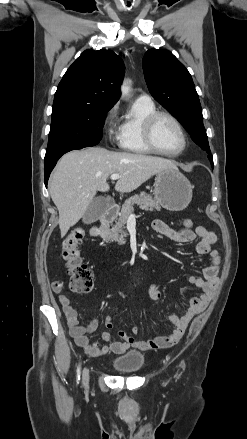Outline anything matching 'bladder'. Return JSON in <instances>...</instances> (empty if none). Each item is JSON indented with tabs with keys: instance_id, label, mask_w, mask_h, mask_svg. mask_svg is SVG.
I'll list each match as a JSON object with an SVG mask.
<instances>
[{
	"instance_id": "31cf9c89",
	"label": "bladder",
	"mask_w": 247,
	"mask_h": 439,
	"mask_svg": "<svg viewBox=\"0 0 247 439\" xmlns=\"http://www.w3.org/2000/svg\"><path fill=\"white\" fill-rule=\"evenodd\" d=\"M113 369L122 373H136L144 366V355L140 351L131 350L112 360Z\"/></svg>"
}]
</instances>
